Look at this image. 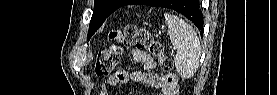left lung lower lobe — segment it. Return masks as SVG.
I'll list each match as a JSON object with an SVG mask.
<instances>
[{
	"label": "left lung lower lobe",
	"instance_id": "left-lung-lower-lobe-1",
	"mask_svg": "<svg viewBox=\"0 0 277 95\" xmlns=\"http://www.w3.org/2000/svg\"><path fill=\"white\" fill-rule=\"evenodd\" d=\"M151 1L153 0H131L127 5H133V4H144V5H150ZM173 0H161V4L159 7H165L170 8L175 11H178L179 13L186 16L188 19H190L196 27L201 30V33L203 32V16L199 9V1L198 0H183L179 2L180 0H175L173 2L172 6L170 4Z\"/></svg>",
	"mask_w": 277,
	"mask_h": 95
}]
</instances>
